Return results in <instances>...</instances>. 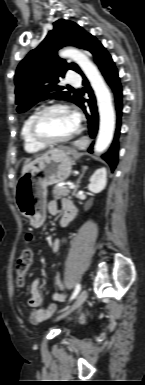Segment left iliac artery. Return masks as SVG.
<instances>
[{
    "instance_id": "left-iliac-artery-1",
    "label": "left iliac artery",
    "mask_w": 145,
    "mask_h": 385,
    "mask_svg": "<svg viewBox=\"0 0 145 385\" xmlns=\"http://www.w3.org/2000/svg\"><path fill=\"white\" fill-rule=\"evenodd\" d=\"M80 290H81V285L77 284L75 289H74V292L70 298V301L73 300L79 294Z\"/></svg>"
}]
</instances>
